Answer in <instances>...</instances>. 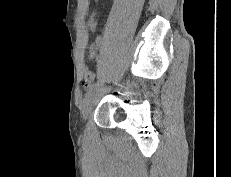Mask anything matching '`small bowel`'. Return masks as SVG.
I'll list each match as a JSON object with an SVG mask.
<instances>
[{
    "mask_svg": "<svg viewBox=\"0 0 231 177\" xmlns=\"http://www.w3.org/2000/svg\"><path fill=\"white\" fill-rule=\"evenodd\" d=\"M95 3H98V0H94ZM88 27L92 32L96 31L97 28V20L95 18V13L92 14L89 23H88ZM94 46L96 49L101 50L102 46H103V39L100 36H97L94 40ZM94 79V73L92 71L86 70L84 72V76H83V84L85 86H89L91 84V82Z\"/></svg>",
    "mask_w": 231,
    "mask_h": 177,
    "instance_id": "small-bowel-1",
    "label": "small bowel"
}]
</instances>
